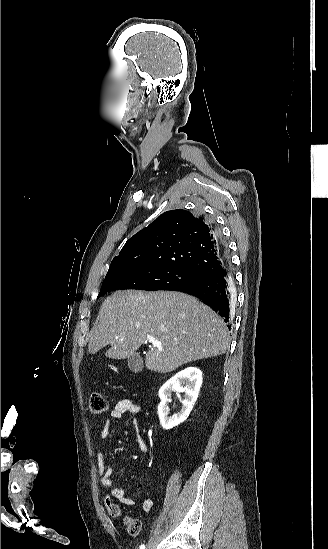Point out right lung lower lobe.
<instances>
[{"instance_id": "right-lung-lower-lobe-1", "label": "right lung lower lobe", "mask_w": 328, "mask_h": 549, "mask_svg": "<svg viewBox=\"0 0 328 549\" xmlns=\"http://www.w3.org/2000/svg\"><path fill=\"white\" fill-rule=\"evenodd\" d=\"M218 240L226 256V248L219 234ZM224 261L226 262L223 268L218 272L206 275L200 280L180 286L174 290L197 296L217 312L225 322H228L231 303L230 288L233 286V280L228 268V259L225 257Z\"/></svg>"}]
</instances>
